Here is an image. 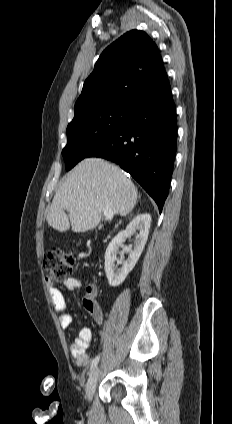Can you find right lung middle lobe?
I'll return each instance as SVG.
<instances>
[{"label": "right lung middle lobe", "mask_w": 232, "mask_h": 424, "mask_svg": "<svg viewBox=\"0 0 232 424\" xmlns=\"http://www.w3.org/2000/svg\"><path fill=\"white\" fill-rule=\"evenodd\" d=\"M130 109L129 105L106 104L76 114L67 127L68 143L62 151L66 170L73 168L121 128L128 121Z\"/></svg>", "instance_id": "1"}]
</instances>
